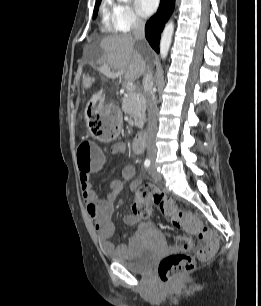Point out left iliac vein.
I'll return each instance as SVG.
<instances>
[{"instance_id":"left-iliac-vein-1","label":"left iliac vein","mask_w":261,"mask_h":306,"mask_svg":"<svg viewBox=\"0 0 261 306\" xmlns=\"http://www.w3.org/2000/svg\"><path fill=\"white\" fill-rule=\"evenodd\" d=\"M150 174L152 176V179L156 182L161 180V175L156 171L155 164L153 163L150 168Z\"/></svg>"}]
</instances>
